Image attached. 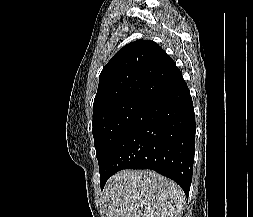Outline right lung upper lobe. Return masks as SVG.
Listing matches in <instances>:
<instances>
[{
  "label": "right lung upper lobe",
  "mask_w": 253,
  "mask_h": 217,
  "mask_svg": "<svg viewBox=\"0 0 253 217\" xmlns=\"http://www.w3.org/2000/svg\"><path fill=\"white\" fill-rule=\"evenodd\" d=\"M180 76L174 61L155 42L137 40L129 43L103 68L93 114L128 98L151 100Z\"/></svg>",
  "instance_id": "1"
}]
</instances>
